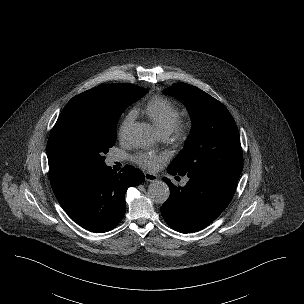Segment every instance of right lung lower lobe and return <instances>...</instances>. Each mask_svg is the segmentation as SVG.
I'll return each instance as SVG.
<instances>
[{
	"label": "right lung lower lobe",
	"mask_w": 304,
	"mask_h": 304,
	"mask_svg": "<svg viewBox=\"0 0 304 304\" xmlns=\"http://www.w3.org/2000/svg\"><path fill=\"white\" fill-rule=\"evenodd\" d=\"M144 179L143 172L132 166L126 165L118 174L103 165L89 169L55 196L73 221L89 231L103 233L120 223L127 189Z\"/></svg>",
	"instance_id": "obj_1"
}]
</instances>
